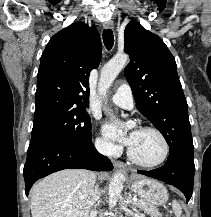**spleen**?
<instances>
[{"label": "spleen", "mask_w": 211, "mask_h": 217, "mask_svg": "<svg viewBox=\"0 0 211 217\" xmlns=\"http://www.w3.org/2000/svg\"><path fill=\"white\" fill-rule=\"evenodd\" d=\"M172 209H173V212L176 215V217L181 216L182 209H181V206H180L179 202H177L176 200H174L172 202Z\"/></svg>", "instance_id": "obj_1"}]
</instances>
